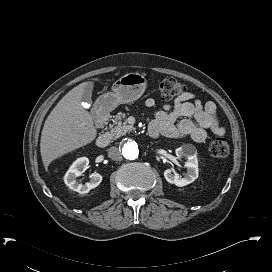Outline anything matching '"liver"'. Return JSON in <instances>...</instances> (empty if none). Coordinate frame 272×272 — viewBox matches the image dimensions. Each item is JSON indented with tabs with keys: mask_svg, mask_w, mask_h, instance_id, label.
<instances>
[{
	"mask_svg": "<svg viewBox=\"0 0 272 272\" xmlns=\"http://www.w3.org/2000/svg\"><path fill=\"white\" fill-rule=\"evenodd\" d=\"M98 80V78H95ZM83 82L70 90L48 115L41 133L40 153L45 168L55 159L91 143L97 135L92 115L82 106Z\"/></svg>",
	"mask_w": 272,
	"mask_h": 272,
	"instance_id": "liver-1",
	"label": "liver"
}]
</instances>
